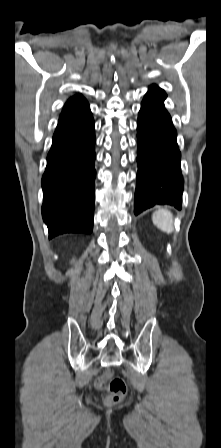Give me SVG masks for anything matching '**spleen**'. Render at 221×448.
I'll return each mask as SVG.
<instances>
[{
  "instance_id": "3e777b00",
  "label": "spleen",
  "mask_w": 221,
  "mask_h": 448,
  "mask_svg": "<svg viewBox=\"0 0 221 448\" xmlns=\"http://www.w3.org/2000/svg\"><path fill=\"white\" fill-rule=\"evenodd\" d=\"M152 221L157 228L167 234L174 231L173 215L167 209L160 208L155 211L152 215Z\"/></svg>"
}]
</instances>
